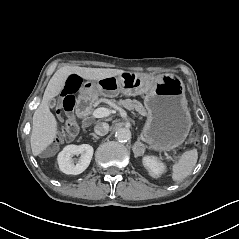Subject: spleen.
Returning <instances> with one entry per match:
<instances>
[{
  "instance_id": "1",
  "label": "spleen",
  "mask_w": 239,
  "mask_h": 239,
  "mask_svg": "<svg viewBox=\"0 0 239 239\" xmlns=\"http://www.w3.org/2000/svg\"><path fill=\"white\" fill-rule=\"evenodd\" d=\"M197 157L198 154L195 149L184 152L172 166V179L174 181L185 179L193 170Z\"/></svg>"
}]
</instances>
